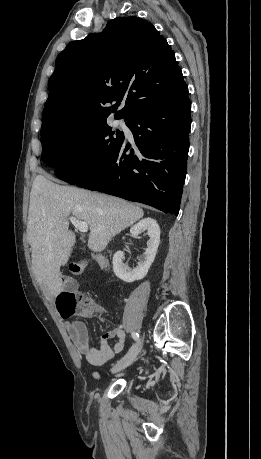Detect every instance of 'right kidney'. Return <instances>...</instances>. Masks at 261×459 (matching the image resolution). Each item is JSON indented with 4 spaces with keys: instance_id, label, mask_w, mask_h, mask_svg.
I'll use <instances>...</instances> for the list:
<instances>
[{
    "instance_id": "ca27d5eb",
    "label": "right kidney",
    "mask_w": 261,
    "mask_h": 459,
    "mask_svg": "<svg viewBox=\"0 0 261 459\" xmlns=\"http://www.w3.org/2000/svg\"><path fill=\"white\" fill-rule=\"evenodd\" d=\"M147 231L149 240L147 248L140 259L136 268H128L123 262L124 252L118 251L113 256V271L115 275L124 282H134L143 279L153 263L160 242V228L157 222L152 218L142 219L140 222L131 227L130 233L136 237L140 233Z\"/></svg>"
}]
</instances>
